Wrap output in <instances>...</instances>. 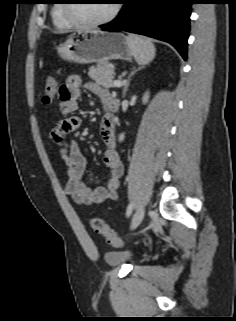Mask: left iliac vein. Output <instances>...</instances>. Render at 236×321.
Instances as JSON below:
<instances>
[{
	"instance_id": "1",
	"label": "left iliac vein",
	"mask_w": 236,
	"mask_h": 321,
	"mask_svg": "<svg viewBox=\"0 0 236 321\" xmlns=\"http://www.w3.org/2000/svg\"><path fill=\"white\" fill-rule=\"evenodd\" d=\"M145 215V207L141 206L139 207L135 214L132 217V221H131V229H135L142 221V219L144 218Z\"/></svg>"
}]
</instances>
